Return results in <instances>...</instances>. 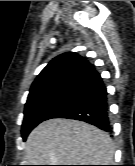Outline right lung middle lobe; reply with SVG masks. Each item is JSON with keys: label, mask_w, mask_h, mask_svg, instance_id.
Segmentation results:
<instances>
[{"label": "right lung middle lobe", "mask_w": 135, "mask_h": 166, "mask_svg": "<svg viewBox=\"0 0 135 166\" xmlns=\"http://www.w3.org/2000/svg\"><path fill=\"white\" fill-rule=\"evenodd\" d=\"M71 98L69 87L63 86L26 103L21 130L23 140L39 123L55 118L62 113L68 107Z\"/></svg>", "instance_id": "1"}]
</instances>
